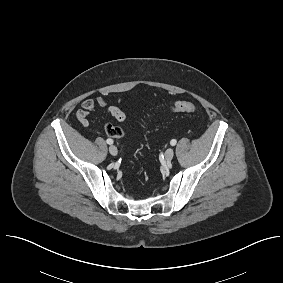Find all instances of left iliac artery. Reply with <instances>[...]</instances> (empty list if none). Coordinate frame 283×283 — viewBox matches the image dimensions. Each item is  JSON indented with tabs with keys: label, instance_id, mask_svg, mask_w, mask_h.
Masks as SVG:
<instances>
[{
	"label": "left iliac artery",
	"instance_id": "44dca946",
	"mask_svg": "<svg viewBox=\"0 0 283 283\" xmlns=\"http://www.w3.org/2000/svg\"><path fill=\"white\" fill-rule=\"evenodd\" d=\"M176 143H177V141H176L175 139H172V140L170 141V144H171L172 146H175Z\"/></svg>",
	"mask_w": 283,
	"mask_h": 283
}]
</instances>
